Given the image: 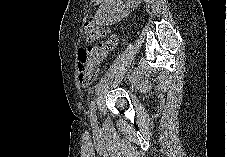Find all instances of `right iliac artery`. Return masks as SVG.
Instances as JSON below:
<instances>
[{
  "instance_id": "82829eb1",
  "label": "right iliac artery",
  "mask_w": 227,
  "mask_h": 157,
  "mask_svg": "<svg viewBox=\"0 0 227 157\" xmlns=\"http://www.w3.org/2000/svg\"><path fill=\"white\" fill-rule=\"evenodd\" d=\"M94 104H95V102L93 101V102H92V107H91L90 120H91L92 126L95 128L96 125H97V119H96Z\"/></svg>"
}]
</instances>
